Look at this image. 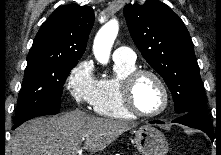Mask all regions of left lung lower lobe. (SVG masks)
Here are the masks:
<instances>
[{
	"instance_id": "left-lung-lower-lobe-1",
	"label": "left lung lower lobe",
	"mask_w": 221,
	"mask_h": 155,
	"mask_svg": "<svg viewBox=\"0 0 221 155\" xmlns=\"http://www.w3.org/2000/svg\"><path fill=\"white\" fill-rule=\"evenodd\" d=\"M172 122L180 123L192 128L204 131L213 141V124L207 116V111H191L181 115ZM150 123H163L159 120L151 121Z\"/></svg>"
}]
</instances>
